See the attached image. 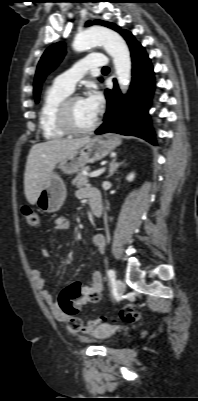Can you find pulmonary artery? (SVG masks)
Listing matches in <instances>:
<instances>
[{"instance_id": "pulmonary-artery-1", "label": "pulmonary artery", "mask_w": 198, "mask_h": 401, "mask_svg": "<svg viewBox=\"0 0 198 401\" xmlns=\"http://www.w3.org/2000/svg\"><path fill=\"white\" fill-rule=\"evenodd\" d=\"M108 60L101 55H91L77 62L73 67L59 75L55 84L69 92H72L76 83L87 73L88 70L97 67H106Z\"/></svg>"}]
</instances>
